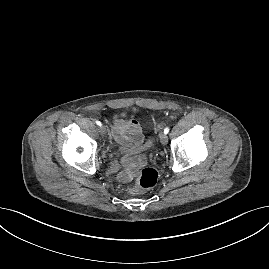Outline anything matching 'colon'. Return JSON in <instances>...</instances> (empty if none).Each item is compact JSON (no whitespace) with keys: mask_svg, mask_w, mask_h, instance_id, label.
I'll return each instance as SVG.
<instances>
[{"mask_svg":"<svg viewBox=\"0 0 269 269\" xmlns=\"http://www.w3.org/2000/svg\"><path fill=\"white\" fill-rule=\"evenodd\" d=\"M158 180V173L153 168L142 169L135 181L133 191L150 189L155 186Z\"/></svg>","mask_w":269,"mask_h":269,"instance_id":"colon-1","label":"colon"}]
</instances>
